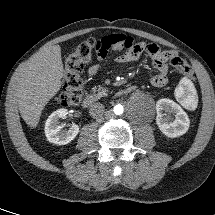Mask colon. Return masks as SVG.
Returning a JSON list of instances; mask_svg holds the SVG:
<instances>
[{"label":"colon","instance_id":"obj_1","mask_svg":"<svg viewBox=\"0 0 215 215\" xmlns=\"http://www.w3.org/2000/svg\"><path fill=\"white\" fill-rule=\"evenodd\" d=\"M94 52H97L96 41L94 39H88L80 43L75 50L65 58L63 90L56 97L57 104L68 106L80 102L84 87L81 73L84 64L92 58ZM170 62L184 75L192 77V71L183 57L175 54L170 57Z\"/></svg>","mask_w":215,"mask_h":215}]
</instances>
